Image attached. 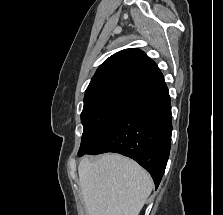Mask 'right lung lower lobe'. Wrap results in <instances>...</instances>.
<instances>
[{"mask_svg": "<svg viewBox=\"0 0 223 215\" xmlns=\"http://www.w3.org/2000/svg\"><path fill=\"white\" fill-rule=\"evenodd\" d=\"M171 133V102L164 86L135 104L84 154L115 152L130 157L151 174L157 188L169 158Z\"/></svg>", "mask_w": 223, "mask_h": 215, "instance_id": "right-lung-lower-lobe-1", "label": "right lung lower lobe"}]
</instances>
